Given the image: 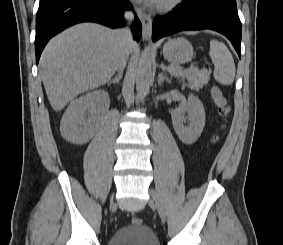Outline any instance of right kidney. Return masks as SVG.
<instances>
[{"instance_id": "right-kidney-1", "label": "right kidney", "mask_w": 283, "mask_h": 245, "mask_svg": "<svg viewBox=\"0 0 283 245\" xmlns=\"http://www.w3.org/2000/svg\"><path fill=\"white\" fill-rule=\"evenodd\" d=\"M109 104V95L104 90L89 92L71 102L61 119L62 137L74 144L87 143L95 133L96 121L107 111ZM86 111L91 115L88 120L84 118Z\"/></svg>"}]
</instances>
